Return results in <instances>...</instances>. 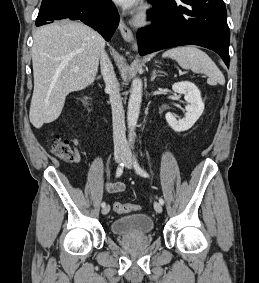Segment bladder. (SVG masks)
Segmentation results:
<instances>
[{"label":"bladder","instance_id":"1","mask_svg":"<svg viewBox=\"0 0 259 283\" xmlns=\"http://www.w3.org/2000/svg\"><path fill=\"white\" fill-rule=\"evenodd\" d=\"M153 226L149 216L134 214L115 220L111 224V231L118 236H140L150 233Z\"/></svg>","mask_w":259,"mask_h":283}]
</instances>
